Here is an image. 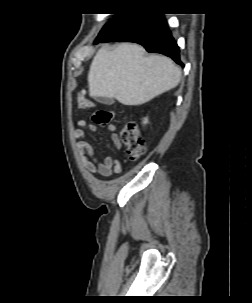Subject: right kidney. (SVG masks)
<instances>
[{"mask_svg":"<svg viewBox=\"0 0 252 303\" xmlns=\"http://www.w3.org/2000/svg\"><path fill=\"white\" fill-rule=\"evenodd\" d=\"M144 123H147V119H145Z\"/></svg>","mask_w":252,"mask_h":303,"instance_id":"ca27d5eb","label":"right kidney"}]
</instances>
